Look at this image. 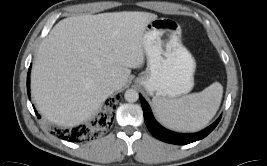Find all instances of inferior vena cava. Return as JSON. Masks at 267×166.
Returning a JSON list of instances; mask_svg holds the SVG:
<instances>
[{
  "label": "inferior vena cava",
  "instance_id": "obj_1",
  "mask_svg": "<svg viewBox=\"0 0 267 166\" xmlns=\"http://www.w3.org/2000/svg\"><path fill=\"white\" fill-rule=\"evenodd\" d=\"M118 89V83L117 82H110L106 84V90L110 93H113Z\"/></svg>",
  "mask_w": 267,
  "mask_h": 166
}]
</instances>
